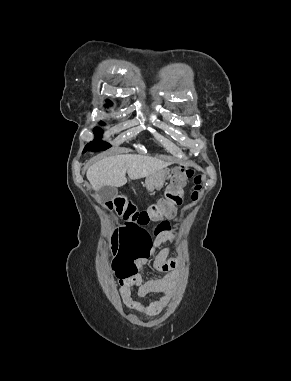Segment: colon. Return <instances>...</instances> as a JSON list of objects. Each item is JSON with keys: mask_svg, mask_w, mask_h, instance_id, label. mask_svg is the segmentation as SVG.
I'll return each mask as SVG.
<instances>
[{"mask_svg": "<svg viewBox=\"0 0 291 381\" xmlns=\"http://www.w3.org/2000/svg\"><path fill=\"white\" fill-rule=\"evenodd\" d=\"M193 176L194 171L190 167H182L172 175L164 194L143 209H139L132 200L122 195L106 203L108 210L122 218L126 224L115 229L109 239L115 268L133 271L134 261L142 253L139 242L147 233L146 227L155 223L163 224L166 219L174 216L176 207L182 202L183 185ZM199 188V181L196 178L195 196Z\"/></svg>", "mask_w": 291, "mask_h": 381, "instance_id": "5ec220e1", "label": "colon"}]
</instances>
